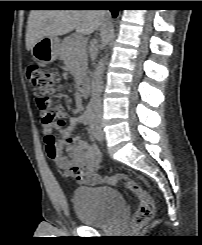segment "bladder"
<instances>
[{
    "label": "bladder",
    "mask_w": 202,
    "mask_h": 245,
    "mask_svg": "<svg viewBox=\"0 0 202 245\" xmlns=\"http://www.w3.org/2000/svg\"><path fill=\"white\" fill-rule=\"evenodd\" d=\"M124 198L113 188L79 186L74 191L73 209L80 223L93 227L108 225L123 209Z\"/></svg>",
    "instance_id": "31cf9c89"
}]
</instances>
